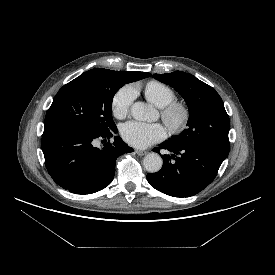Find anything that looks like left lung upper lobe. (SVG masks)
I'll use <instances>...</instances> for the list:
<instances>
[{"instance_id":"obj_1","label":"left lung upper lobe","mask_w":275,"mask_h":275,"mask_svg":"<svg viewBox=\"0 0 275 275\" xmlns=\"http://www.w3.org/2000/svg\"><path fill=\"white\" fill-rule=\"evenodd\" d=\"M154 78L172 86L189 109L187 128L169 143L199 145L229 153V116L219 94L195 76L175 71L154 74Z\"/></svg>"}]
</instances>
